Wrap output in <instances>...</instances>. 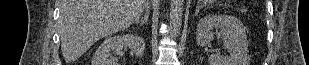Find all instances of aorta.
<instances>
[{
	"instance_id": "762f6f07",
	"label": "aorta",
	"mask_w": 309,
	"mask_h": 65,
	"mask_svg": "<svg viewBox=\"0 0 309 65\" xmlns=\"http://www.w3.org/2000/svg\"><path fill=\"white\" fill-rule=\"evenodd\" d=\"M184 0H171L170 4V28L172 36L180 32L182 26Z\"/></svg>"
}]
</instances>
